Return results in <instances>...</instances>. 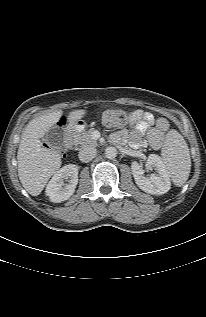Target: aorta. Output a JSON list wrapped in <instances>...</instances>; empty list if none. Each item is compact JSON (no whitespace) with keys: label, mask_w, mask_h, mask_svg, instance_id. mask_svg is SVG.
I'll list each match as a JSON object with an SVG mask.
<instances>
[{"label":"aorta","mask_w":206,"mask_h":317,"mask_svg":"<svg viewBox=\"0 0 206 317\" xmlns=\"http://www.w3.org/2000/svg\"><path fill=\"white\" fill-rule=\"evenodd\" d=\"M105 156L108 159H114L117 156V149L115 147H107L105 149Z\"/></svg>","instance_id":"obj_1"}]
</instances>
